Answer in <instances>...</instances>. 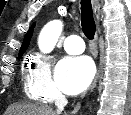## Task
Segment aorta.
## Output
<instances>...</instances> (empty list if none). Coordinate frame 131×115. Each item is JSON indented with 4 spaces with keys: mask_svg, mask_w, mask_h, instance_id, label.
<instances>
[{
    "mask_svg": "<svg viewBox=\"0 0 131 115\" xmlns=\"http://www.w3.org/2000/svg\"><path fill=\"white\" fill-rule=\"evenodd\" d=\"M63 29L60 20L49 22L41 31L38 39L39 49L43 53H49L55 47Z\"/></svg>",
    "mask_w": 131,
    "mask_h": 115,
    "instance_id": "1",
    "label": "aorta"
}]
</instances>
